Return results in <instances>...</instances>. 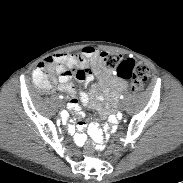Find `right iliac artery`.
Returning <instances> with one entry per match:
<instances>
[{
    "label": "right iliac artery",
    "mask_w": 183,
    "mask_h": 183,
    "mask_svg": "<svg viewBox=\"0 0 183 183\" xmlns=\"http://www.w3.org/2000/svg\"><path fill=\"white\" fill-rule=\"evenodd\" d=\"M60 98L62 99L63 98V96H60ZM62 114V113H61ZM63 116V115H62Z\"/></svg>",
    "instance_id": "obj_1"
}]
</instances>
